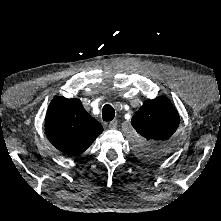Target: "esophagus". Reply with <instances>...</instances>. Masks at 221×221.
Instances as JSON below:
<instances>
[{
	"instance_id": "1",
	"label": "esophagus",
	"mask_w": 221,
	"mask_h": 221,
	"mask_svg": "<svg viewBox=\"0 0 221 221\" xmlns=\"http://www.w3.org/2000/svg\"><path fill=\"white\" fill-rule=\"evenodd\" d=\"M117 125H118V121L117 120H113V121H111L109 123L108 127H109V129H116Z\"/></svg>"
}]
</instances>
